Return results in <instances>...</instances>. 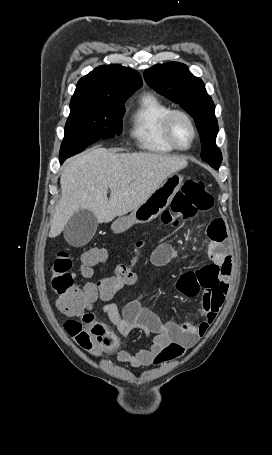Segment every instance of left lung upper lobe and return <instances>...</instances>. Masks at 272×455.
Returning <instances> with one entry per match:
<instances>
[{
	"label": "left lung upper lobe",
	"instance_id": "left-lung-upper-lobe-1",
	"mask_svg": "<svg viewBox=\"0 0 272 455\" xmlns=\"http://www.w3.org/2000/svg\"><path fill=\"white\" fill-rule=\"evenodd\" d=\"M143 76L150 87L179 104L193 117L202 143V160L218 169L222 154L215 143L218 133L215 105L203 81L179 62L154 65L145 70Z\"/></svg>",
	"mask_w": 272,
	"mask_h": 455
}]
</instances>
